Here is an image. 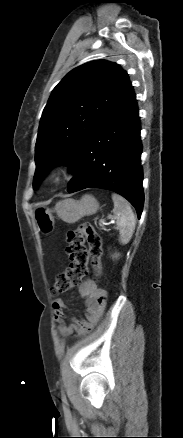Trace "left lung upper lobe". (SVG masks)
I'll return each mask as SVG.
<instances>
[{"label":"left lung upper lobe","mask_w":183,"mask_h":438,"mask_svg":"<svg viewBox=\"0 0 183 438\" xmlns=\"http://www.w3.org/2000/svg\"><path fill=\"white\" fill-rule=\"evenodd\" d=\"M132 91L128 74L113 62L92 61L70 71L54 88L42 113L34 188L53 166L68 164Z\"/></svg>","instance_id":"5c2ea615"}]
</instances>
